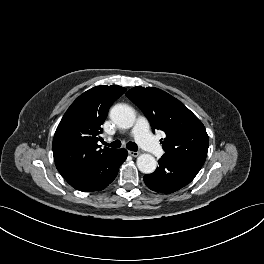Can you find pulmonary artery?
<instances>
[{
  "label": "pulmonary artery",
  "instance_id": "1",
  "mask_svg": "<svg viewBox=\"0 0 264 264\" xmlns=\"http://www.w3.org/2000/svg\"><path fill=\"white\" fill-rule=\"evenodd\" d=\"M132 135L135 137L138 144L153 154L154 156H161L164 151L160 144L152 137L149 132L148 121L144 117H139L132 129Z\"/></svg>",
  "mask_w": 264,
  "mask_h": 264
}]
</instances>
